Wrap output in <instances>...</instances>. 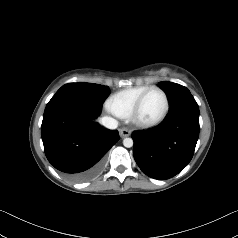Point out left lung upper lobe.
Masks as SVG:
<instances>
[{
	"label": "left lung upper lobe",
	"instance_id": "left-lung-upper-lobe-1",
	"mask_svg": "<svg viewBox=\"0 0 238 238\" xmlns=\"http://www.w3.org/2000/svg\"><path fill=\"white\" fill-rule=\"evenodd\" d=\"M159 84L168 93L171 105L176 101L180 100L181 98H183L184 96L191 95L190 91L182 85L168 81H162Z\"/></svg>",
	"mask_w": 238,
	"mask_h": 238
}]
</instances>
